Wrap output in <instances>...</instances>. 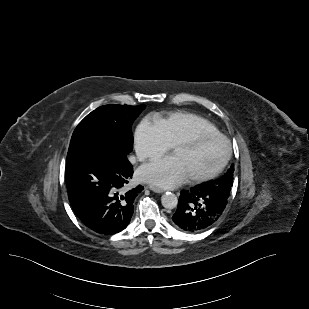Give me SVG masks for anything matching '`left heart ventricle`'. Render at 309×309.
Listing matches in <instances>:
<instances>
[{
	"label": "left heart ventricle",
	"instance_id": "obj_1",
	"mask_svg": "<svg viewBox=\"0 0 309 309\" xmlns=\"http://www.w3.org/2000/svg\"><path fill=\"white\" fill-rule=\"evenodd\" d=\"M225 152L224 143L218 139H207L191 146H180L172 150L189 177L213 171L221 162Z\"/></svg>",
	"mask_w": 309,
	"mask_h": 309
}]
</instances>
